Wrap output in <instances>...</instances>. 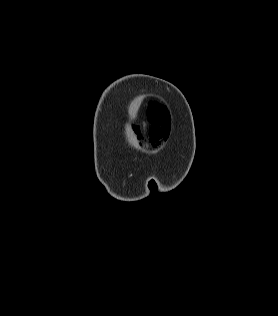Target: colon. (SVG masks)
Returning <instances> with one entry per match:
<instances>
[{
	"mask_svg": "<svg viewBox=\"0 0 278 316\" xmlns=\"http://www.w3.org/2000/svg\"><path fill=\"white\" fill-rule=\"evenodd\" d=\"M163 130L159 126H153L150 130V136L153 141H157L163 137Z\"/></svg>",
	"mask_w": 278,
	"mask_h": 316,
	"instance_id": "5ec220e1",
	"label": "colon"
}]
</instances>
